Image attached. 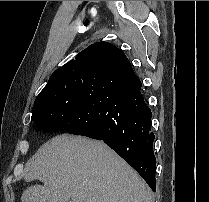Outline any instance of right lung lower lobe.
I'll return each instance as SVG.
<instances>
[{
  "mask_svg": "<svg viewBox=\"0 0 209 202\" xmlns=\"http://www.w3.org/2000/svg\"><path fill=\"white\" fill-rule=\"evenodd\" d=\"M142 83L131 64L94 77L77 111L63 130L102 140L128 162L156 191L151 110L141 94Z\"/></svg>",
  "mask_w": 209,
  "mask_h": 202,
  "instance_id": "right-lung-lower-lobe-1",
  "label": "right lung lower lobe"
}]
</instances>
